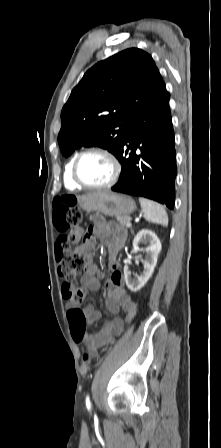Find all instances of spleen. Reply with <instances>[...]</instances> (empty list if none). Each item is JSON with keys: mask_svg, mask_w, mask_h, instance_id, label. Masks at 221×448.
I'll return each mask as SVG.
<instances>
[{"mask_svg": "<svg viewBox=\"0 0 221 448\" xmlns=\"http://www.w3.org/2000/svg\"><path fill=\"white\" fill-rule=\"evenodd\" d=\"M140 204L144 217L148 222L167 226L168 225V215L162 205L159 203L141 198Z\"/></svg>", "mask_w": 221, "mask_h": 448, "instance_id": "1", "label": "spleen"}]
</instances>
